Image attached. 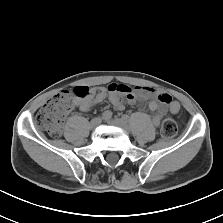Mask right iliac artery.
I'll return each instance as SVG.
<instances>
[{"label":"right iliac artery","instance_id":"right-iliac-artery-1","mask_svg":"<svg viewBox=\"0 0 223 223\" xmlns=\"http://www.w3.org/2000/svg\"><path fill=\"white\" fill-rule=\"evenodd\" d=\"M111 117H112L111 111H105L102 113V119H104V120H109Z\"/></svg>","mask_w":223,"mask_h":223}]
</instances>
